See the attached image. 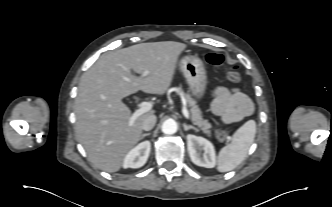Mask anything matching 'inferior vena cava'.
<instances>
[{
  "mask_svg": "<svg viewBox=\"0 0 332 207\" xmlns=\"http://www.w3.org/2000/svg\"><path fill=\"white\" fill-rule=\"evenodd\" d=\"M156 123V116L155 115H150L148 116L142 123V129L145 131H149L153 129Z\"/></svg>",
  "mask_w": 332,
  "mask_h": 207,
  "instance_id": "obj_1",
  "label": "inferior vena cava"
}]
</instances>
